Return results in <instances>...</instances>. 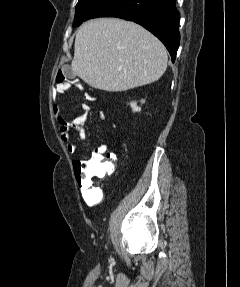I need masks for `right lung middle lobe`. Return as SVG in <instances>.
<instances>
[{"mask_svg":"<svg viewBox=\"0 0 240 287\" xmlns=\"http://www.w3.org/2000/svg\"><path fill=\"white\" fill-rule=\"evenodd\" d=\"M108 0H79L76 5L73 27L92 18Z\"/></svg>","mask_w":240,"mask_h":287,"instance_id":"dd1d6c3e","label":"right lung middle lobe"}]
</instances>
